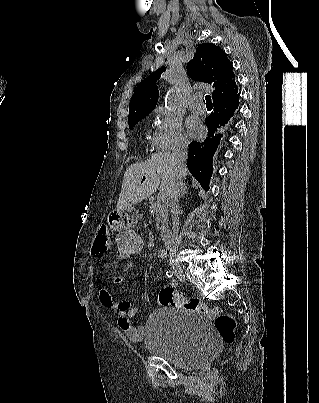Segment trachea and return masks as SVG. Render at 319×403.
I'll return each instance as SVG.
<instances>
[{
    "label": "trachea",
    "mask_w": 319,
    "mask_h": 403,
    "mask_svg": "<svg viewBox=\"0 0 319 403\" xmlns=\"http://www.w3.org/2000/svg\"><path fill=\"white\" fill-rule=\"evenodd\" d=\"M205 100H206V105H212V101H211V96L210 95H206L205 96Z\"/></svg>",
    "instance_id": "3493384b"
}]
</instances>
